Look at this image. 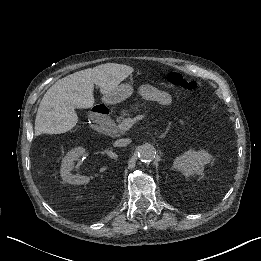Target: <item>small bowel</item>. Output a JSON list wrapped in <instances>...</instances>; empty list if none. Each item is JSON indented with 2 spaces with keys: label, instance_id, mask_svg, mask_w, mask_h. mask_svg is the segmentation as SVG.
I'll return each mask as SVG.
<instances>
[{
  "label": "small bowel",
  "instance_id": "obj_1",
  "mask_svg": "<svg viewBox=\"0 0 261 261\" xmlns=\"http://www.w3.org/2000/svg\"><path fill=\"white\" fill-rule=\"evenodd\" d=\"M139 94L143 98L155 101L161 105H168L172 100L171 96L167 92L152 85L141 86L139 88Z\"/></svg>",
  "mask_w": 261,
  "mask_h": 261
}]
</instances>
